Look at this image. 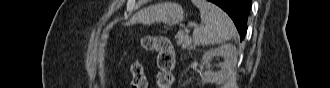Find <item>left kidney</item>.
<instances>
[{
	"mask_svg": "<svg viewBox=\"0 0 330 88\" xmlns=\"http://www.w3.org/2000/svg\"><path fill=\"white\" fill-rule=\"evenodd\" d=\"M215 56H222L224 62L219 64L218 71H205L202 80L207 83H221L234 71L237 63V49L235 45L226 43L220 47L210 49L202 57L203 64H208Z\"/></svg>",
	"mask_w": 330,
	"mask_h": 88,
	"instance_id": "obj_1",
	"label": "left kidney"
}]
</instances>
